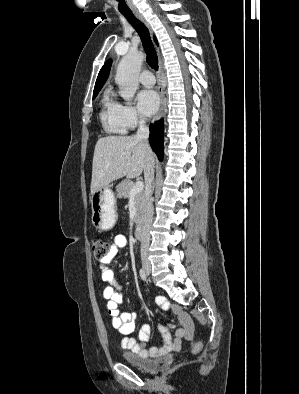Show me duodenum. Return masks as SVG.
Wrapping results in <instances>:
<instances>
[{"mask_svg":"<svg viewBox=\"0 0 299 394\" xmlns=\"http://www.w3.org/2000/svg\"><path fill=\"white\" fill-rule=\"evenodd\" d=\"M142 228H143V226H142V224H138L137 226H136V228H135V236L137 237V238H139L140 236H141V233H142Z\"/></svg>","mask_w":299,"mask_h":394,"instance_id":"410a0bca","label":"duodenum"}]
</instances>
